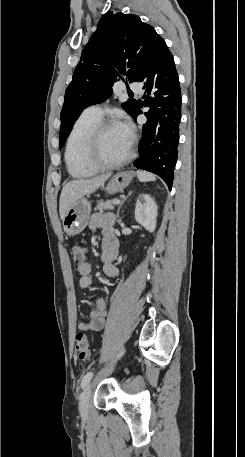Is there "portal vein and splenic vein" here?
<instances>
[{
	"label": "portal vein and splenic vein",
	"mask_w": 245,
	"mask_h": 457,
	"mask_svg": "<svg viewBox=\"0 0 245 457\" xmlns=\"http://www.w3.org/2000/svg\"><path fill=\"white\" fill-rule=\"evenodd\" d=\"M119 202H120L119 198H114L113 204H119Z\"/></svg>",
	"instance_id": "1"
}]
</instances>
